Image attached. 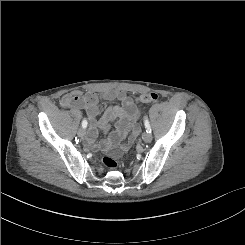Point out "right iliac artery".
<instances>
[{"mask_svg":"<svg viewBox=\"0 0 245 245\" xmlns=\"http://www.w3.org/2000/svg\"><path fill=\"white\" fill-rule=\"evenodd\" d=\"M87 125H88V122H87L86 119H84V120L82 121V127H83V128H86Z\"/></svg>","mask_w":245,"mask_h":245,"instance_id":"right-iliac-artery-1","label":"right iliac artery"}]
</instances>
